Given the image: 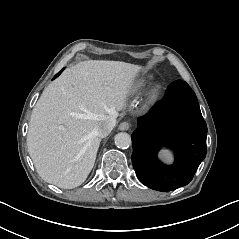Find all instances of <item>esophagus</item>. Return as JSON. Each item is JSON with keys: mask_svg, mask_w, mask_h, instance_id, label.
<instances>
[{"mask_svg": "<svg viewBox=\"0 0 239 239\" xmlns=\"http://www.w3.org/2000/svg\"><path fill=\"white\" fill-rule=\"evenodd\" d=\"M130 128V124L128 122H122L119 125V130L121 131H127Z\"/></svg>", "mask_w": 239, "mask_h": 239, "instance_id": "34e87169", "label": "esophagus"}]
</instances>
